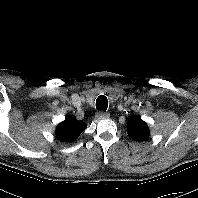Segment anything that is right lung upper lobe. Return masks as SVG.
<instances>
[{
    "mask_svg": "<svg viewBox=\"0 0 198 198\" xmlns=\"http://www.w3.org/2000/svg\"><path fill=\"white\" fill-rule=\"evenodd\" d=\"M86 123L68 116L56 129V136L61 141L72 142L85 130Z\"/></svg>",
    "mask_w": 198,
    "mask_h": 198,
    "instance_id": "obj_1",
    "label": "right lung upper lobe"
}]
</instances>
